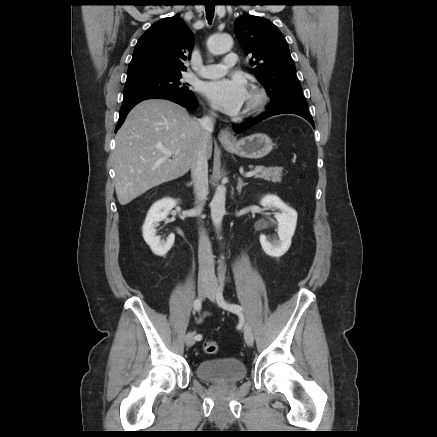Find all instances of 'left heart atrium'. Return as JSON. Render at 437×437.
Listing matches in <instances>:
<instances>
[{"label":"left heart atrium","instance_id":"obj_1","mask_svg":"<svg viewBox=\"0 0 437 437\" xmlns=\"http://www.w3.org/2000/svg\"><path fill=\"white\" fill-rule=\"evenodd\" d=\"M202 92L218 109L229 115L239 114L249 95L247 83L242 78L207 82Z\"/></svg>","mask_w":437,"mask_h":437}]
</instances>
